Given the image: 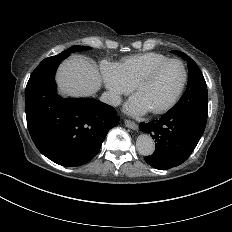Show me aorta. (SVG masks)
I'll list each match as a JSON object with an SVG mask.
<instances>
[{
	"instance_id": "1",
	"label": "aorta",
	"mask_w": 232,
	"mask_h": 232,
	"mask_svg": "<svg viewBox=\"0 0 232 232\" xmlns=\"http://www.w3.org/2000/svg\"><path fill=\"white\" fill-rule=\"evenodd\" d=\"M138 152L141 155L149 156L155 151V142L148 134H141L136 141Z\"/></svg>"
}]
</instances>
